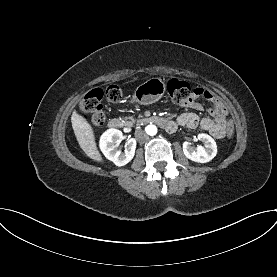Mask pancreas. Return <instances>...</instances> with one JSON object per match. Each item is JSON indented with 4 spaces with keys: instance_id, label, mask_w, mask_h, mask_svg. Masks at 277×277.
Wrapping results in <instances>:
<instances>
[{
    "instance_id": "1",
    "label": "pancreas",
    "mask_w": 277,
    "mask_h": 277,
    "mask_svg": "<svg viewBox=\"0 0 277 277\" xmlns=\"http://www.w3.org/2000/svg\"><path fill=\"white\" fill-rule=\"evenodd\" d=\"M135 123L140 124L141 119H135L134 117H129V121H126L127 126H133Z\"/></svg>"
}]
</instances>
